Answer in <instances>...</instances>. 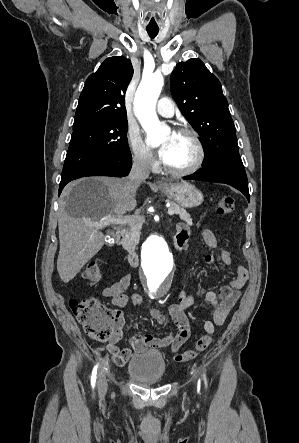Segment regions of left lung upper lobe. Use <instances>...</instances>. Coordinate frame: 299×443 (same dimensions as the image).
I'll return each mask as SVG.
<instances>
[{
    "label": "left lung upper lobe",
    "mask_w": 299,
    "mask_h": 443,
    "mask_svg": "<svg viewBox=\"0 0 299 443\" xmlns=\"http://www.w3.org/2000/svg\"><path fill=\"white\" fill-rule=\"evenodd\" d=\"M171 92L181 112L202 138V166L218 162L243 164L236 132L219 80L198 59L176 65Z\"/></svg>",
    "instance_id": "obj_1"
}]
</instances>
